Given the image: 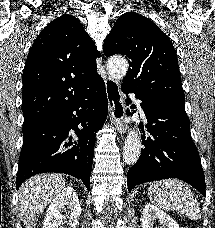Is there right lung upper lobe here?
Returning a JSON list of instances; mask_svg holds the SVG:
<instances>
[{"label": "right lung upper lobe", "mask_w": 215, "mask_h": 228, "mask_svg": "<svg viewBox=\"0 0 215 228\" xmlns=\"http://www.w3.org/2000/svg\"><path fill=\"white\" fill-rule=\"evenodd\" d=\"M100 57L77 18L63 14L34 41L23 72V125H30L68 104L98 76Z\"/></svg>", "instance_id": "right-lung-upper-lobe-1"}]
</instances>
